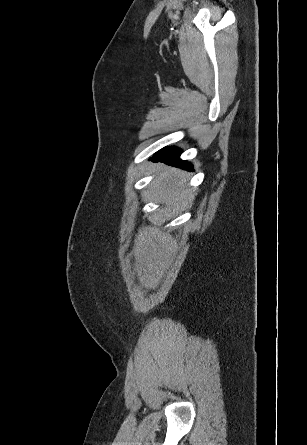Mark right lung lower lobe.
Listing matches in <instances>:
<instances>
[{
    "mask_svg": "<svg viewBox=\"0 0 307 445\" xmlns=\"http://www.w3.org/2000/svg\"><path fill=\"white\" fill-rule=\"evenodd\" d=\"M180 154V149L175 147H166L155 153L151 160L155 162L161 161L188 171H193V167L190 163L179 159Z\"/></svg>",
    "mask_w": 307,
    "mask_h": 445,
    "instance_id": "obj_1",
    "label": "right lung lower lobe"
}]
</instances>
